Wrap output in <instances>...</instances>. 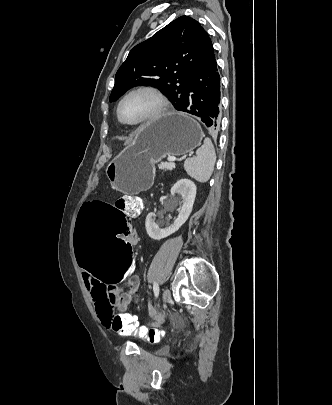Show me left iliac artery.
Returning <instances> with one entry per match:
<instances>
[{"label": "left iliac artery", "instance_id": "44dca946", "mask_svg": "<svg viewBox=\"0 0 332 405\" xmlns=\"http://www.w3.org/2000/svg\"><path fill=\"white\" fill-rule=\"evenodd\" d=\"M153 291H154L155 297L157 298L159 296V285L157 282H154Z\"/></svg>", "mask_w": 332, "mask_h": 405}]
</instances>
